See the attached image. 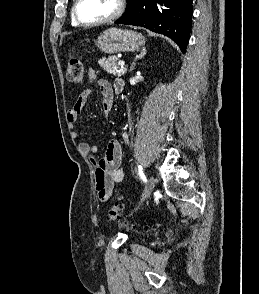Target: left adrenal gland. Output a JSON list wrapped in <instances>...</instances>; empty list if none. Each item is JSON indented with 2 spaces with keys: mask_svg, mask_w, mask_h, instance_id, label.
<instances>
[{
  "mask_svg": "<svg viewBox=\"0 0 259 294\" xmlns=\"http://www.w3.org/2000/svg\"><path fill=\"white\" fill-rule=\"evenodd\" d=\"M145 55H146V49L143 48V49L141 50L140 54L137 55V56L135 57V59H134L132 65H131V67H130V70H129L130 73L134 70V68H135V66H136V61H137L138 59H142Z\"/></svg>",
  "mask_w": 259,
  "mask_h": 294,
  "instance_id": "1",
  "label": "left adrenal gland"
}]
</instances>
